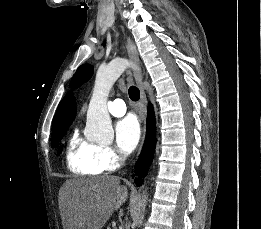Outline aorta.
I'll list each match as a JSON object with an SVG mask.
<instances>
[{
  "label": "aorta",
  "instance_id": "obj_1",
  "mask_svg": "<svg viewBox=\"0 0 261 229\" xmlns=\"http://www.w3.org/2000/svg\"><path fill=\"white\" fill-rule=\"evenodd\" d=\"M126 68H137V66H134L127 58H113V60H110L105 66L104 64H100L97 70L86 121V129L95 141L106 137V135H109V137L113 135L111 119L107 108V98L111 86H113L115 80L119 78L120 74H122ZM146 193L147 191H143L142 193V201L139 205V207H141V215L138 225H142L143 223L144 211L148 201Z\"/></svg>",
  "mask_w": 261,
  "mask_h": 229
}]
</instances>
